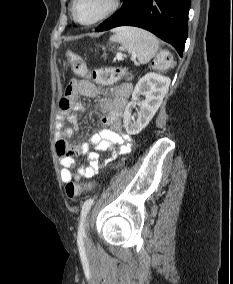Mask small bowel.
Segmentation results:
<instances>
[{"instance_id":"small-bowel-1","label":"small bowel","mask_w":233,"mask_h":284,"mask_svg":"<svg viewBox=\"0 0 233 284\" xmlns=\"http://www.w3.org/2000/svg\"><path fill=\"white\" fill-rule=\"evenodd\" d=\"M99 89L85 79L71 80L66 87L57 110L58 139L56 151L62 169L61 180L64 183L78 181L81 178H91L96 175L106 164L113 161L118 154L130 151L131 137L122 130L121 119L131 93V85L123 83L115 86L108 97H100ZM80 96L96 98V103L103 114L101 126L92 134L87 141L71 144L67 141L77 129L78 113L84 110L79 101ZM67 120L74 125L73 128H63V122ZM93 147L94 151H89ZM108 152V157L100 161L99 153ZM87 155L88 163L82 164L74 173L72 171L75 160L74 156Z\"/></svg>"}]
</instances>
